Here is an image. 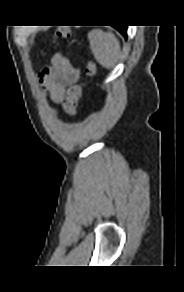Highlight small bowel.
I'll return each instance as SVG.
<instances>
[{
    "label": "small bowel",
    "mask_w": 184,
    "mask_h": 292,
    "mask_svg": "<svg viewBox=\"0 0 184 292\" xmlns=\"http://www.w3.org/2000/svg\"><path fill=\"white\" fill-rule=\"evenodd\" d=\"M80 69L71 63L63 54L56 53L52 57L51 66L40 74V82L48 91L55 104L64 99L65 88L75 84L80 78Z\"/></svg>",
    "instance_id": "1"
}]
</instances>
